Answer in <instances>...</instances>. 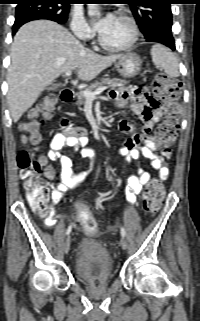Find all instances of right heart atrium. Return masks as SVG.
<instances>
[{"mask_svg":"<svg viewBox=\"0 0 200 321\" xmlns=\"http://www.w3.org/2000/svg\"><path fill=\"white\" fill-rule=\"evenodd\" d=\"M70 28L73 34L81 40H88L93 35L90 25L79 9H74L72 12Z\"/></svg>","mask_w":200,"mask_h":321,"instance_id":"d8ad5b80","label":"right heart atrium"}]
</instances>
